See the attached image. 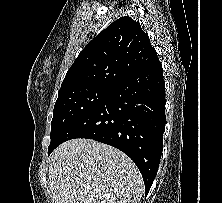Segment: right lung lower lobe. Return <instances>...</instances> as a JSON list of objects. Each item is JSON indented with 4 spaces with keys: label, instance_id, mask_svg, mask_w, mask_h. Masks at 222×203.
<instances>
[{
    "label": "right lung lower lobe",
    "instance_id": "1",
    "mask_svg": "<svg viewBox=\"0 0 222 203\" xmlns=\"http://www.w3.org/2000/svg\"><path fill=\"white\" fill-rule=\"evenodd\" d=\"M165 128V82L159 59L123 78L109 96L71 124L48 147V155L74 138L114 146L139 168L146 195L156 176Z\"/></svg>",
    "mask_w": 222,
    "mask_h": 203
}]
</instances>
